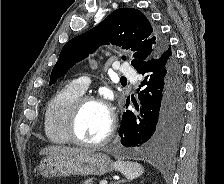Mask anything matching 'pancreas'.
Returning a JSON list of instances; mask_svg holds the SVG:
<instances>
[{"instance_id": "1", "label": "pancreas", "mask_w": 224, "mask_h": 184, "mask_svg": "<svg viewBox=\"0 0 224 184\" xmlns=\"http://www.w3.org/2000/svg\"><path fill=\"white\" fill-rule=\"evenodd\" d=\"M82 184H93V180L92 179L85 180L84 182H82Z\"/></svg>"}]
</instances>
